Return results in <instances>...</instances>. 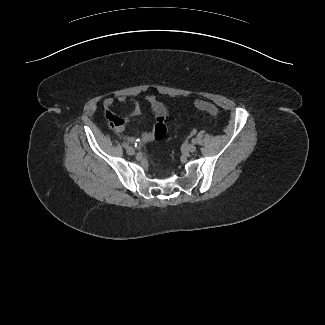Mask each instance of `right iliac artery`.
I'll use <instances>...</instances> for the list:
<instances>
[{
	"mask_svg": "<svg viewBox=\"0 0 325 325\" xmlns=\"http://www.w3.org/2000/svg\"><path fill=\"white\" fill-rule=\"evenodd\" d=\"M123 147H125V148H127L128 147V143H126V142H123Z\"/></svg>",
	"mask_w": 325,
	"mask_h": 325,
	"instance_id": "1",
	"label": "right iliac artery"
}]
</instances>
